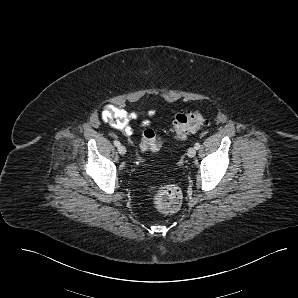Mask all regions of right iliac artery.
Listing matches in <instances>:
<instances>
[{"label": "right iliac artery", "instance_id": "obj_1", "mask_svg": "<svg viewBox=\"0 0 298 298\" xmlns=\"http://www.w3.org/2000/svg\"><path fill=\"white\" fill-rule=\"evenodd\" d=\"M114 145L117 146V147H119L120 146V142L118 140H115L114 141Z\"/></svg>", "mask_w": 298, "mask_h": 298}]
</instances>
